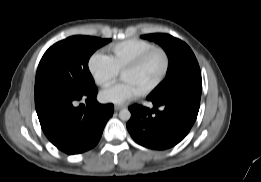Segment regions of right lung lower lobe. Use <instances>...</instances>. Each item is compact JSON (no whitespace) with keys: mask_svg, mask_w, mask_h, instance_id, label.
I'll list each match as a JSON object with an SVG mask.
<instances>
[{"mask_svg":"<svg viewBox=\"0 0 261 182\" xmlns=\"http://www.w3.org/2000/svg\"><path fill=\"white\" fill-rule=\"evenodd\" d=\"M97 91L80 97L62 88H51L35 94L37 115L44 134L59 150L71 155L93 148L100 140L108 119L113 115L112 104L96 100ZM85 99L86 106L75 107Z\"/></svg>","mask_w":261,"mask_h":182,"instance_id":"right-lung-lower-lobe-1","label":"right lung lower lobe"}]
</instances>
